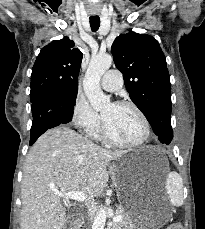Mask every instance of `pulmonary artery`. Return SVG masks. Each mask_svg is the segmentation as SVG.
I'll return each instance as SVG.
<instances>
[{
  "mask_svg": "<svg viewBox=\"0 0 205 229\" xmlns=\"http://www.w3.org/2000/svg\"><path fill=\"white\" fill-rule=\"evenodd\" d=\"M101 85L106 91H117L122 86V74L119 70H109L107 71L102 79Z\"/></svg>",
  "mask_w": 205,
  "mask_h": 229,
  "instance_id": "pulmonary-artery-1",
  "label": "pulmonary artery"
}]
</instances>
